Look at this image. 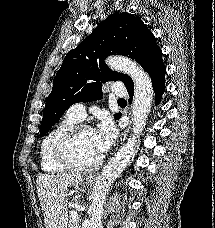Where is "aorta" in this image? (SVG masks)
Returning <instances> with one entry per match:
<instances>
[{"mask_svg":"<svg viewBox=\"0 0 215 228\" xmlns=\"http://www.w3.org/2000/svg\"><path fill=\"white\" fill-rule=\"evenodd\" d=\"M107 66L111 70L125 72L130 76L134 86V98L132 106V132L127 144L117 152L116 156L108 162L101 174H99L95 186V190L91 198L90 206V228H102L103 206L106 202V196L109 188L118 176L122 174L126 166H128L134 148L138 142L140 134L144 130L147 116L150 114L154 90L150 76L144 72L143 68L123 56H110L106 60Z\"/></svg>","mask_w":215,"mask_h":228,"instance_id":"aorta-1","label":"aorta"}]
</instances>
